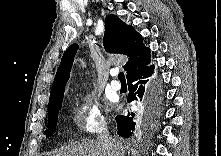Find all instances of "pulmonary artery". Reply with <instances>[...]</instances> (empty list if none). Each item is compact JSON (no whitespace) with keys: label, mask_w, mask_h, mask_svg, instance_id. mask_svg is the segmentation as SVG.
<instances>
[{"label":"pulmonary artery","mask_w":221,"mask_h":156,"mask_svg":"<svg viewBox=\"0 0 221 156\" xmlns=\"http://www.w3.org/2000/svg\"><path fill=\"white\" fill-rule=\"evenodd\" d=\"M112 75L115 76V75H116V72H112ZM111 87H112L113 90L118 91V90L121 89V84H120L119 81L113 80V81L111 82Z\"/></svg>","instance_id":"obj_1"}]
</instances>
